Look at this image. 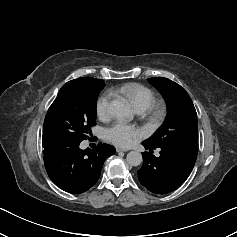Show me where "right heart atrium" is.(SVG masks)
<instances>
[{"label": "right heart atrium", "instance_id": "right-heart-atrium-1", "mask_svg": "<svg viewBox=\"0 0 237 237\" xmlns=\"http://www.w3.org/2000/svg\"><path fill=\"white\" fill-rule=\"evenodd\" d=\"M112 98L111 92H105L102 94L96 104L97 115L100 118H107L110 114V101Z\"/></svg>", "mask_w": 237, "mask_h": 237}]
</instances>
